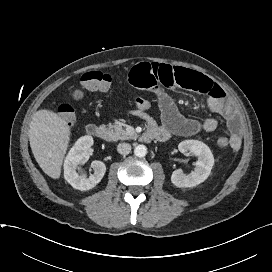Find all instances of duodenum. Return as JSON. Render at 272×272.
Returning a JSON list of instances; mask_svg holds the SVG:
<instances>
[{"label": "duodenum", "instance_id": "duodenum-1", "mask_svg": "<svg viewBox=\"0 0 272 272\" xmlns=\"http://www.w3.org/2000/svg\"><path fill=\"white\" fill-rule=\"evenodd\" d=\"M86 132L88 135L102 140H107L109 137L107 131L96 124L87 125ZM153 139H156V134L150 130L140 136V140L146 143L151 142Z\"/></svg>", "mask_w": 272, "mask_h": 272}]
</instances>
